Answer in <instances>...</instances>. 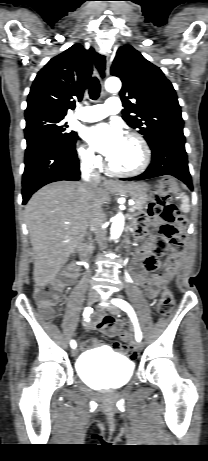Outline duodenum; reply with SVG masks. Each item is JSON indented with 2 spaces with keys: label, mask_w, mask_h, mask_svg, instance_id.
<instances>
[{
  "label": "duodenum",
  "mask_w": 208,
  "mask_h": 461,
  "mask_svg": "<svg viewBox=\"0 0 208 461\" xmlns=\"http://www.w3.org/2000/svg\"><path fill=\"white\" fill-rule=\"evenodd\" d=\"M80 252H81V257L84 260L88 258L89 254H90V245H89V241L87 239H84L80 243Z\"/></svg>",
  "instance_id": "obj_1"
}]
</instances>
